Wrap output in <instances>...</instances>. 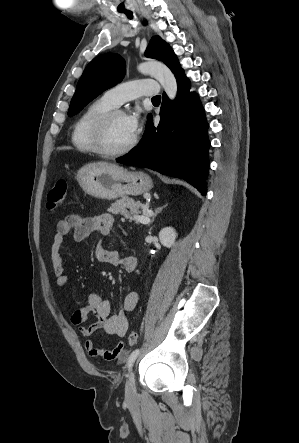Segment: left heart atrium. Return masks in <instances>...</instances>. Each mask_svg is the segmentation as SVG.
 Listing matches in <instances>:
<instances>
[{
    "label": "left heart atrium",
    "mask_w": 299,
    "mask_h": 443,
    "mask_svg": "<svg viewBox=\"0 0 299 443\" xmlns=\"http://www.w3.org/2000/svg\"><path fill=\"white\" fill-rule=\"evenodd\" d=\"M128 125L130 129L136 133L140 127V115L139 112L135 111L130 115L126 116Z\"/></svg>",
    "instance_id": "left-heart-atrium-1"
}]
</instances>
